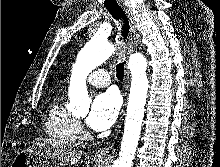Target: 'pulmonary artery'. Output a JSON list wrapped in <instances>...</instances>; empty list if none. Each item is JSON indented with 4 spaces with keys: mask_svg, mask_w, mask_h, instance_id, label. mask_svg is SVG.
I'll return each mask as SVG.
<instances>
[{
    "mask_svg": "<svg viewBox=\"0 0 220 167\" xmlns=\"http://www.w3.org/2000/svg\"><path fill=\"white\" fill-rule=\"evenodd\" d=\"M87 81L97 87H106L111 83L110 76L105 69L94 70L88 75Z\"/></svg>",
    "mask_w": 220,
    "mask_h": 167,
    "instance_id": "1",
    "label": "pulmonary artery"
}]
</instances>
